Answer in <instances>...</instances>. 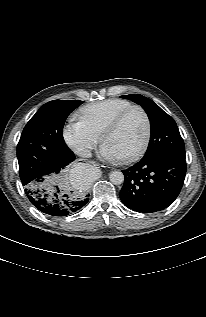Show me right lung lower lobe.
<instances>
[{
    "mask_svg": "<svg viewBox=\"0 0 206 317\" xmlns=\"http://www.w3.org/2000/svg\"><path fill=\"white\" fill-rule=\"evenodd\" d=\"M57 159L58 165L63 170L65 166L74 161L75 155L69 149L59 151ZM43 181H45V178L41 176L25 186V193L30 202L43 213L51 216H67L80 210L89 200L87 196L74 191H67L66 188L56 187V190L49 194L44 190L47 181ZM42 183L44 186H41Z\"/></svg>",
    "mask_w": 206,
    "mask_h": 317,
    "instance_id": "right-lung-lower-lobe-1",
    "label": "right lung lower lobe"
}]
</instances>
